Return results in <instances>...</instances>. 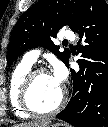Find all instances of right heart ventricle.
Here are the masks:
<instances>
[{
    "label": "right heart ventricle",
    "mask_w": 108,
    "mask_h": 127,
    "mask_svg": "<svg viewBox=\"0 0 108 127\" xmlns=\"http://www.w3.org/2000/svg\"><path fill=\"white\" fill-rule=\"evenodd\" d=\"M31 69L32 64L27 63L23 60L15 66V68L11 72L9 79V89H8L9 101L15 115L20 118H28L30 116V114H28L20 105L19 92L20 86L25 76Z\"/></svg>",
    "instance_id": "e07e8e85"
}]
</instances>
